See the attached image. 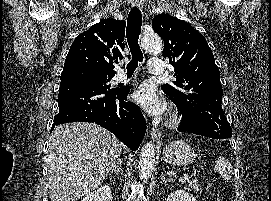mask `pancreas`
<instances>
[{"instance_id": "obj_1", "label": "pancreas", "mask_w": 271, "mask_h": 201, "mask_svg": "<svg viewBox=\"0 0 271 201\" xmlns=\"http://www.w3.org/2000/svg\"><path fill=\"white\" fill-rule=\"evenodd\" d=\"M188 186H189L191 189H193L194 191H196V192H201V191H202V189L199 187L198 182L195 181V180L190 181V182L188 183Z\"/></svg>"}]
</instances>
